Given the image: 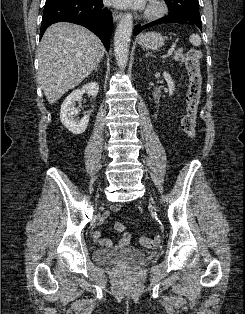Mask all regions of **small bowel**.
<instances>
[{
	"instance_id": "c3829d8e",
	"label": "small bowel",
	"mask_w": 245,
	"mask_h": 314,
	"mask_svg": "<svg viewBox=\"0 0 245 314\" xmlns=\"http://www.w3.org/2000/svg\"><path fill=\"white\" fill-rule=\"evenodd\" d=\"M112 209L115 211V210H118L119 207L117 205L113 206ZM108 217V213H105L102 218L105 219ZM115 228L116 230L118 231H123L124 230V227L122 228V224L120 223H117L115 225ZM93 235L94 237L99 241L100 244H102L103 246H110L111 245V240L109 239H105L101 236V233L99 231H94L93 232ZM131 240V235L130 233L128 232H125L119 239H118V244L121 245V246H125L127 244H129Z\"/></svg>"
}]
</instances>
